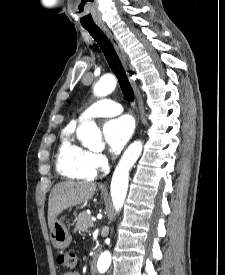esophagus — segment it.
<instances>
[{"label":"esophagus","mask_w":225,"mask_h":275,"mask_svg":"<svg viewBox=\"0 0 225 275\" xmlns=\"http://www.w3.org/2000/svg\"><path fill=\"white\" fill-rule=\"evenodd\" d=\"M102 29L104 30V32L106 33V35L108 36V38L110 39V41L112 42L117 54L119 55V58L124 66V68L126 70H128V60H127V56L124 52V49L121 45V43L119 42V40L111 33V31H109L105 26H102ZM135 90V94L136 97L138 99V93L136 91V88L134 87Z\"/></svg>","instance_id":"34e87169"}]
</instances>
